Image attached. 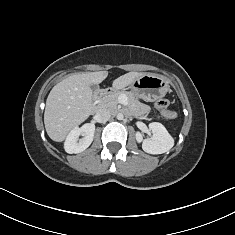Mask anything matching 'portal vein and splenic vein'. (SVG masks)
Listing matches in <instances>:
<instances>
[{"mask_svg": "<svg viewBox=\"0 0 235 235\" xmlns=\"http://www.w3.org/2000/svg\"><path fill=\"white\" fill-rule=\"evenodd\" d=\"M121 102H122V104L127 105V98L122 96Z\"/></svg>", "mask_w": 235, "mask_h": 235, "instance_id": "obj_1", "label": "portal vein and splenic vein"}]
</instances>
